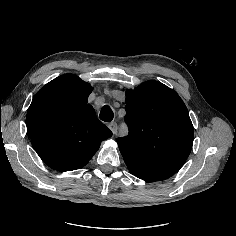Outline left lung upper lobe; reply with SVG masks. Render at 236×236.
Instances as JSON below:
<instances>
[{
    "instance_id": "left-lung-upper-lobe-1",
    "label": "left lung upper lobe",
    "mask_w": 236,
    "mask_h": 236,
    "mask_svg": "<svg viewBox=\"0 0 236 236\" xmlns=\"http://www.w3.org/2000/svg\"><path fill=\"white\" fill-rule=\"evenodd\" d=\"M127 137L117 143L129 171L154 182L175 174L193 145V125L179 95L157 81L126 90Z\"/></svg>"
}]
</instances>
